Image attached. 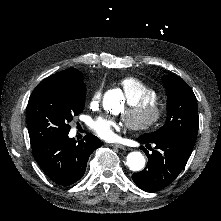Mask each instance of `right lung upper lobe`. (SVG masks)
I'll use <instances>...</instances> for the list:
<instances>
[{
    "label": "right lung upper lobe",
    "instance_id": "cb5924a9",
    "mask_svg": "<svg viewBox=\"0 0 221 221\" xmlns=\"http://www.w3.org/2000/svg\"><path fill=\"white\" fill-rule=\"evenodd\" d=\"M80 77H83L82 73L75 68L66 69L54 75L49 76V78L60 79V80H74Z\"/></svg>",
    "mask_w": 221,
    "mask_h": 221
}]
</instances>
